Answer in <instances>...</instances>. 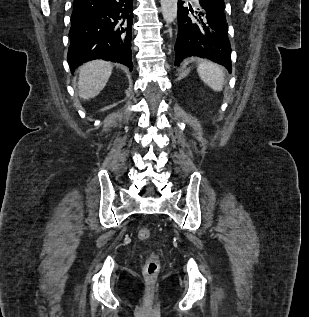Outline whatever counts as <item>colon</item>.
Wrapping results in <instances>:
<instances>
[{"label": "colon", "mask_w": 309, "mask_h": 317, "mask_svg": "<svg viewBox=\"0 0 309 317\" xmlns=\"http://www.w3.org/2000/svg\"><path fill=\"white\" fill-rule=\"evenodd\" d=\"M151 232L148 228H140L137 232V236L140 240H148ZM160 263L156 254H151L143 268V275L146 282V295L149 299L152 298L155 288L157 275L159 272Z\"/></svg>", "instance_id": "5ec220e1"}]
</instances>
